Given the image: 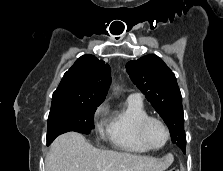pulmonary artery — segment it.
Returning a JSON list of instances; mask_svg holds the SVG:
<instances>
[{"instance_id":"pulmonary-artery-1","label":"pulmonary artery","mask_w":223,"mask_h":171,"mask_svg":"<svg viewBox=\"0 0 223 171\" xmlns=\"http://www.w3.org/2000/svg\"><path fill=\"white\" fill-rule=\"evenodd\" d=\"M128 98H132V99H136V100H141L142 101L141 94L140 93H137V92L131 93Z\"/></svg>"}]
</instances>
